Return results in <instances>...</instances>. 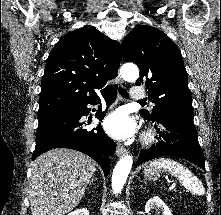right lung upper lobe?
Masks as SVG:
<instances>
[{
    "label": "right lung upper lobe",
    "mask_w": 221,
    "mask_h": 215,
    "mask_svg": "<svg viewBox=\"0 0 221 215\" xmlns=\"http://www.w3.org/2000/svg\"><path fill=\"white\" fill-rule=\"evenodd\" d=\"M121 48L97 29L80 28L63 36L48 56L42 78L38 118L60 115L116 85Z\"/></svg>",
    "instance_id": "right-lung-upper-lobe-1"
}]
</instances>
